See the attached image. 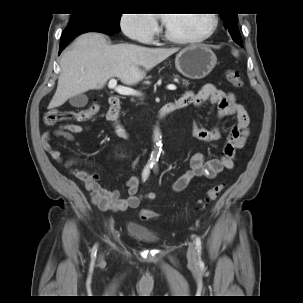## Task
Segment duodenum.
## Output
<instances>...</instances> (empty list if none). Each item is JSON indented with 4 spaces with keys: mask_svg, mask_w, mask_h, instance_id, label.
Segmentation results:
<instances>
[{
    "mask_svg": "<svg viewBox=\"0 0 303 303\" xmlns=\"http://www.w3.org/2000/svg\"><path fill=\"white\" fill-rule=\"evenodd\" d=\"M182 105L180 102L175 101L165 105L158 114V119H163L166 117L171 111L181 108ZM121 110V100L118 96H110L109 98V110L107 112V119L111 122H114V130L116 134L121 138H127L128 134L124 126L120 123H115V121L119 117V113Z\"/></svg>",
    "mask_w": 303,
    "mask_h": 303,
    "instance_id": "obj_1",
    "label": "duodenum"
}]
</instances>
